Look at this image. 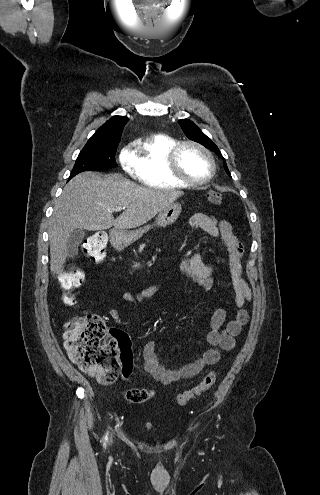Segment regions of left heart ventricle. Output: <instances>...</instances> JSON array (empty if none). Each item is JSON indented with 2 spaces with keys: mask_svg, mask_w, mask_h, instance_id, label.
<instances>
[{
  "mask_svg": "<svg viewBox=\"0 0 320 495\" xmlns=\"http://www.w3.org/2000/svg\"><path fill=\"white\" fill-rule=\"evenodd\" d=\"M183 173L192 179H203L210 172V164L206 156L194 147H185L179 158Z\"/></svg>",
  "mask_w": 320,
  "mask_h": 495,
  "instance_id": "1",
  "label": "left heart ventricle"
}]
</instances>
